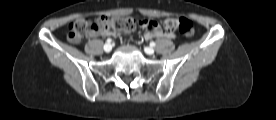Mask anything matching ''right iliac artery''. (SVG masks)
Returning a JSON list of instances; mask_svg holds the SVG:
<instances>
[{
	"mask_svg": "<svg viewBox=\"0 0 276 120\" xmlns=\"http://www.w3.org/2000/svg\"><path fill=\"white\" fill-rule=\"evenodd\" d=\"M112 42V40L109 38V39H107V43H111Z\"/></svg>",
	"mask_w": 276,
	"mask_h": 120,
	"instance_id": "right-iliac-artery-1",
	"label": "right iliac artery"
}]
</instances>
